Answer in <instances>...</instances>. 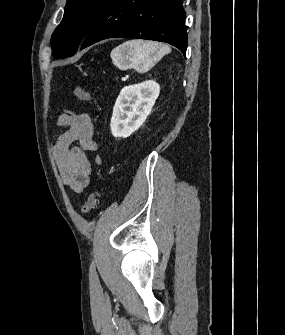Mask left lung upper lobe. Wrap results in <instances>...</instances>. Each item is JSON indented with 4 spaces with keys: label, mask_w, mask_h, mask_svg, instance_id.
Wrapping results in <instances>:
<instances>
[{
    "label": "left lung upper lobe",
    "mask_w": 285,
    "mask_h": 335,
    "mask_svg": "<svg viewBox=\"0 0 285 335\" xmlns=\"http://www.w3.org/2000/svg\"><path fill=\"white\" fill-rule=\"evenodd\" d=\"M110 0H67L64 17L52 35L56 57L73 56L94 21Z\"/></svg>",
    "instance_id": "left-lung-upper-lobe-1"
}]
</instances>
